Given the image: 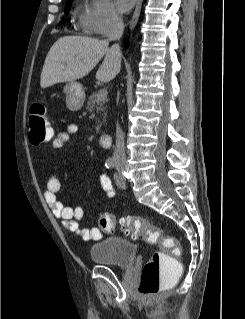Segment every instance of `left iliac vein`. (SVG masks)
<instances>
[{"instance_id": "4c4485c4", "label": "left iliac vein", "mask_w": 245, "mask_h": 319, "mask_svg": "<svg viewBox=\"0 0 245 319\" xmlns=\"http://www.w3.org/2000/svg\"><path fill=\"white\" fill-rule=\"evenodd\" d=\"M122 170H123V169H120V168H119V165H118V167H117L118 174H117V177H116L115 181H116V184H117L120 188H125V179H124V177L122 176Z\"/></svg>"}]
</instances>
